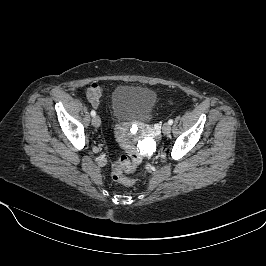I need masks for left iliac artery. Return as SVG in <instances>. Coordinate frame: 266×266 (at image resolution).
I'll return each instance as SVG.
<instances>
[{
  "mask_svg": "<svg viewBox=\"0 0 266 266\" xmlns=\"http://www.w3.org/2000/svg\"><path fill=\"white\" fill-rule=\"evenodd\" d=\"M168 123H169L170 125H172V124H173V120L170 119V120L168 121Z\"/></svg>",
  "mask_w": 266,
  "mask_h": 266,
  "instance_id": "1",
  "label": "left iliac artery"
}]
</instances>
